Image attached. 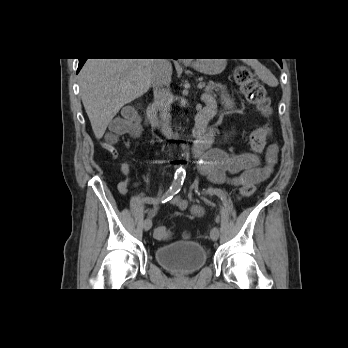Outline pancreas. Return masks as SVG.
I'll list each match as a JSON object with an SVG mask.
<instances>
[{"instance_id":"1","label":"pancreas","mask_w":348,"mask_h":348,"mask_svg":"<svg viewBox=\"0 0 348 348\" xmlns=\"http://www.w3.org/2000/svg\"><path fill=\"white\" fill-rule=\"evenodd\" d=\"M214 91H218V86L217 84L213 83V82H209L208 85L205 88V92L213 94Z\"/></svg>"}]
</instances>
